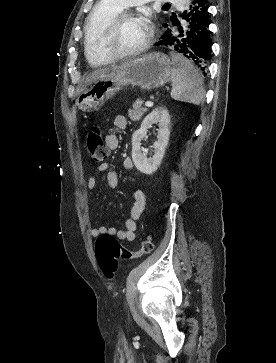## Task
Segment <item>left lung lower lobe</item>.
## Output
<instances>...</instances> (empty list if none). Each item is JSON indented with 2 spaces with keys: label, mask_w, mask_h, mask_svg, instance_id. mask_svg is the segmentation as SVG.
<instances>
[{
  "label": "left lung lower lobe",
  "mask_w": 276,
  "mask_h": 363,
  "mask_svg": "<svg viewBox=\"0 0 276 363\" xmlns=\"http://www.w3.org/2000/svg\"><path fill=\"white\" fill-rule=\"evenodd\" d=\"M207 0H188V11L181 14L180 23L172 19L174 27L163 32L157 46H165L193 62L206 75L210 55V31ZM167 27L166 24L163 25Z\"/></svg>",
  "instance_id": "obj_1"
}]
</instances>
